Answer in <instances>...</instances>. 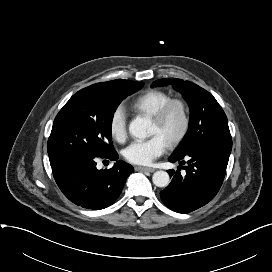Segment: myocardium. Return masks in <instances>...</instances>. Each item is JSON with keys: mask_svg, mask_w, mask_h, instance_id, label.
Listing matches in <instances>:
<instances>
[{"mask_svg": "<svg viewBox=\"0 0 272 272\" xmlns=\"http://www.w3.org/2000/svg\"><path fill=\"white\" fill-rule=\"evenodd\" d=\"M178 108L181 114L182 124L179 132L167 143L168 147L174 148L180 145L183 140L186 138L190 126H191V117L190 110L187 103L180 98H171L160 106L155 113L151 116V120L157 124H160L164 121L167 114L173 109Z\"/></svg>", "mask_w": 272, "mask_h": 272, "instance_id": "obj_1", "label": "myocardium"}]
</instances>
